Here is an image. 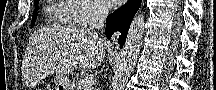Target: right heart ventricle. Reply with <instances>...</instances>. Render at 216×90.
<instances>
[{
	"mask_svg": "<svg viewBox=\"0 0 216 90\" xmlns=\"http://www.w3.org/2000/svg\"><path fill=\"white\" fill-rule=\"evenodd\" d=\"M53 6L45 7V14L49 15L47 21L49 28H84L81 21H74L79 16V11H85V7L64 0H52Z\"/></svg>",
	"mask_w": 216,
	"mask_h": 90,
	"instance_id": "1",
	"label": "right heart ventricle"
}]
</instances>
